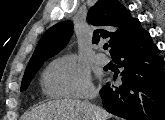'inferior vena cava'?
I'll use <instances>...</instances> for the list:
<instances>
[{"label":"inferior vena cava","instance_id":"obj_1","mask_svg":"<svg viewBox=\"0 0 165 120\" xmlns=\"http://www.w3.org/2000/svg\"><path fill=\"white\" fill-rule=\"evenodd\" d=\"M95 96H96V94H93V95H92V97H95Z\"/></svg>","mask_w":165,"mask_h":120}]
</instances>
